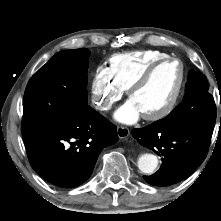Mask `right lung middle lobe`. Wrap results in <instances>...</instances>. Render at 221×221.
Returning a JSON list of instances; mask_svg holds the SVG:
<instances>
[{
	"mask_svg": "<svg viewBox=\"0 0 221 221\" xmlns=\"http://www.w3.org/2000/svg\"><path fill=\"white\" fill-rule=\"evenodd\" d=\"M86 48L56 53L30 79L24 94L22 134L69 122L88 105Z\"/></svg>",
	"mask_w": 221,
	"mask_h": 221,
	"instance_id": "1",
	"label": "right lung middle lobe"
}]
</instances>
